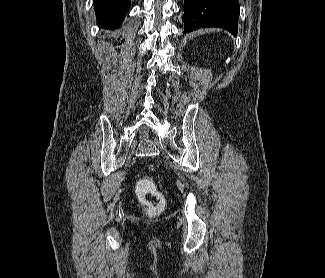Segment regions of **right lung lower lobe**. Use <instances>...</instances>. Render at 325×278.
<instances>
[{"mask_svg": "<svg viewBox=\"0 0 325 278\" xmlns=\"http://www.w3.org/2000/svg\"><path fill=\"white\" fill-rule=\"evenodd\" d=\"M98 25L117 27L130 8V0H94Z\"/></svg>", "mask_w": 325, "mask_h": 278, "instance_id": "right-lung-lower-lobe-1", "label": "right lung lower lobe"}]
</instances>
